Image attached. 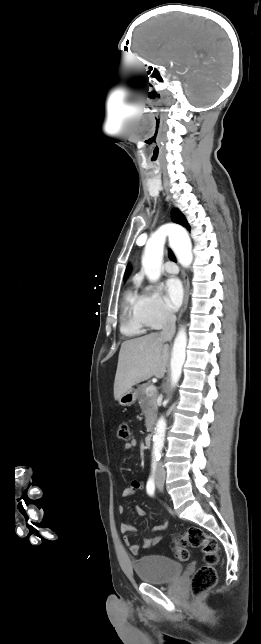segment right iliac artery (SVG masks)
Masks as SVG:
<instances>
[{
  "label": "right iliac artery",
  "instance_id": "1",
  "mask_svg": "<svg viewBox=\"0 0 261 644\" xmlns=\"http://www.w3.org/2000/svg\"><path fill=\"white\" fill-rule=\"evenodd\" d=\"M155 468H156V461L154 460V461L152 462V475H151V476H150V478L148 479V481H147V485H146L147 493H148L150 496H153V495H154V492H155V482H154V471H155Z\"/></svg>",
  "mask_w": 261,
  "mask_h": 644
}]
</instances>
